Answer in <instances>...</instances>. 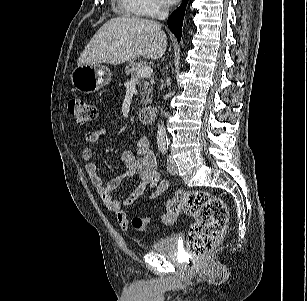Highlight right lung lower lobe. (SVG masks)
<instances>
[{
	"label": "right lung lower lobe",
	"mask_w": 307,
	"mask_h": 301,
	"mask_svg": "<svg viewBox=\"0 0 307 301\" xmlns=\"http://www.w3.org/2000/svg\"><path fill=\"white\" fill-rule=\"evenodd\" d=\"M186 4L187 0H183L181 6L177 10H175L168 18V26L171 32L175 34L178 41H180L181 39V30Z\"/></svg>",
	"instance_id": "obj_1"
}]
</instances>
